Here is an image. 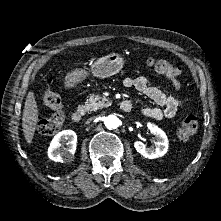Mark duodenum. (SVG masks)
Returning <instances> with one entry per match:
<instances>
[{
  "label": "duodenum",
  "instance_id": "410a0bca",
  "mask_svg": "<svg viewBox=\"0 0 221 221\" xmlns=\"http://www.w3.org/2000/svg\"><path fill=\"white\" fill-rule=\"evenodd\" d=\"M120 108L124 112H128L131 110V104L128 101H123L120 104ZM84 110L82 108H79L75 110L71 115V120L75 123L80 122L83 118Z\"/></svg>",
  "mask_w": 221,
  "mask_h": 221
}]
</instances>
